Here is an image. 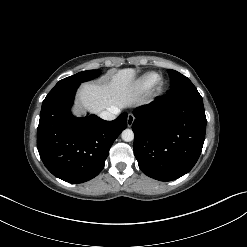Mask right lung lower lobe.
Returning <instances> with one entry per match:
<instances>
[{
    "instance_id": "right-lung-lower-lobe-1",
    "label": "right lung lower lobe",
    "mask_w": 247,
    "mask_h": 247,
    "mask_svg": "<svg viewBox=\"0 0 247 247\" xmlns=\"http://www.w3.org/2000/svg\"><path fill=\"white\" fill-rule=\"evenodd\" d=\"M80 84H58L42 103L37 148L46 168L69 183H83L104 168L110 147L127 127V114L113 121L95 115L72 116L70 107Z\"/></svg>"
}]
</instances>
